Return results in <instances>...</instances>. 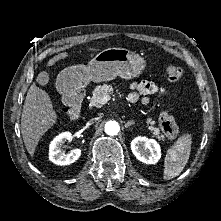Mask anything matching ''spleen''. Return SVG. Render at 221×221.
<instances>
[{
    "label": "spleen",
    "mask_w": 221,
    "mask_h": 221,
    "mask_svg": "<svg viewBox=\"0 0 221 221\" xmlns=\"http://www.w3.org/2000/svg\"><path fill=\"white\" fill-rule=\"evenodd\" d=\"M191 143V135L184 134L167 150L163 172L165 180H170L182 172L190 156Z\"/></svg>",
    "instance_id": "obj_1"
}]
</instances>
